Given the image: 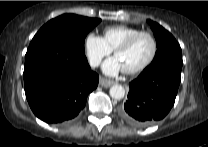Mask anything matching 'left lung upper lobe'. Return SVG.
Returning <instances> with one entry per match:
<instances>
[{"mask_svg": "<svg viewBox=\"0 0 208 147\" xmlns=\"http://www.w3.org/2000/svg\"><path fill=\"white\" fill-rule=\"evenodd\" d=\"M147 22L154 32L157 45L155 57L150 65L166 59L183 64L181 47L176 39L158 23L152 20Z\"/></svg>", "mask_w": 208, "mask_h": 147, "instance_id": "1", "label": "left lung upper lobe"}]
</instances>
